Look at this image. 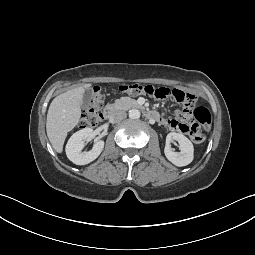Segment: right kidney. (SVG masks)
Returning a JSON list of instances; mask_svg holds the SVG:
<instances>
[{"mask_svg": "<svg viewBox=\"0 0 255 255\" xmlns=\"http://www.w3.org/2000/svg\"><path fill=\"white\" fill-rule=\"evenodd\" d=\"M93 138V129L84 128L74 133L67 142L66 155L76 165H86L94 161L104 148V141H96L89 152H83L85 140Z\"/></svg>", "mask_w": 255, "mask_h": 255, "instance_id": "obj_1", "label": "right kidney"}]
</instances>
